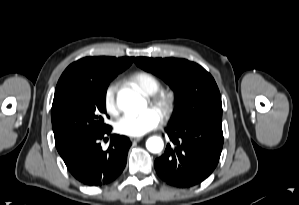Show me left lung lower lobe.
<instances>
[{
  "label": "left lung lower lobe",
  "instance_id": "left-lung-lower-lobe-1",
  "mask_svg": "<svg viewBox=\"0 0 299 205\" xmlns=\"http://www.w3.org/2000/svg\"><path fill=\"white\" fill-rule=\"evenodd\" d=\"M172 145L155 160L159 177L167 184L188 188L201 183L215 169L223 147L222 116L197 122L170 124Z\"/></svg>",
  "mask_w": 299,
  "mask_h": 205
}]
</instances>
